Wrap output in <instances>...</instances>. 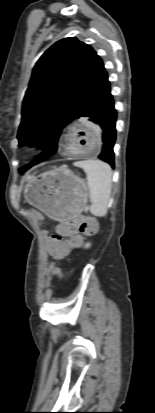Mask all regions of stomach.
<instances>
[{"label":"stomach","instance_id":"0dacf381","mask_svg":"<svg viewBox=\"0 0 155 413\" xmlns=\"http://www.w3.org/2000/svg\"><path fill=\"white\" fill-rule=\"evenodd\" d=\"M26 200L55 220L79 215L86 207L89 188L85 180L61 166L27 179Z\"/></svg>","mask_w":155,"mask_h":413}]
</instances>
